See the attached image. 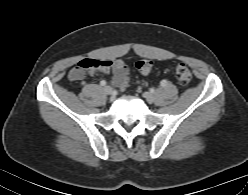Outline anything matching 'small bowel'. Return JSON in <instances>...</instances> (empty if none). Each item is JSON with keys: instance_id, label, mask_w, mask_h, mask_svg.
Segmentation results:
<instances>
[{"instance_id": "1", "label": "small bowel", "mask_w": 248, "mask_h": 195, "mask_svg": "<svg viewBox=\"0 0 248 195\" xmlns=\"http://www.w3.org/2000/svg\"><path fill=\"white\" fill-rule=\"evenodd\" d=\"M95 68L89 73H103L109 74L113 73L112 85L118 87V82L121 78L128 75L127 65L120 59L109 60V59H91Z\"/></svg>"}]
</instances>
